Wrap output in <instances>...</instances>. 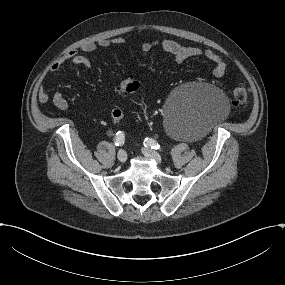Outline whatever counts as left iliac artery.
Masks as SVG:
<instances>
[{
  "instance_id": "left-iliac-artery-1",
  "label": "left iliac artery",
  "mask_w": 285,
  "mask_h": 285,
  "mask_svg": "<svg viewBox=\"0 0 285 285\" xmlns=\"http://www.w3.org/2000/svg\"><path fill=\"white\" fill-rule=\"evenodd\" d=\"M144 146L150 147L151 149H155V150L157 149L162 150V147L158 144V142H156L152 138H145Z\"/></svg>"
}]
</instances>
